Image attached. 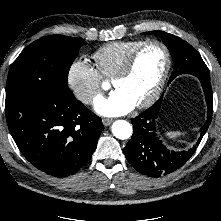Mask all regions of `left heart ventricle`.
<instances>
[{
  "instance_id": "obj_1",
  "label": "left heart ventricle",
  "mask_w": 221,
  "mask_h": 221,
  "mask_svg": "<svg viewBox=\"0 0 221 221\" xmlns=\"http://www.w3.org/2000/svg\"><path fill=\"white\" fill-rule=\"evenodd\" d=\"M165 66V54L161 47L152 45L141 52L129 76L113 82L137 105L156 88Z\"/></svg>"
}]
</instances>
